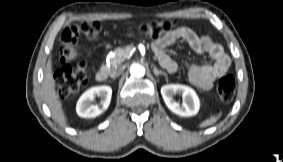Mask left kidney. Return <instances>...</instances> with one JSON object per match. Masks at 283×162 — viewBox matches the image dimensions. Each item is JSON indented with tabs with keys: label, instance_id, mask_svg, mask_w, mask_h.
I'll list each match as a JSON object with an SVG mask.
<instances>
[{
	"label": "left kidney",
	"instance_id": "5707ae66",
	"mask_svg": "<svg viewBox=\"0 0 283 162\" xmlns=\"http://www.w3.org/2000/svg\"><path fill=\"white\" fill-rule=\"evenodd\" d=\"M181 95L183 103L179 104L173 98L174 95ZM161 95L166 106L175 114L183 117L196 115L199 111L200 101L196 92L185 85L168 84L161 88Z\"/></svg>",
	"mask_w": 283,
	"mask_h": 162
}]
</instances>
